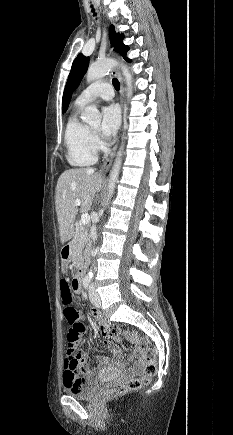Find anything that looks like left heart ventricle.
<instances>
[{
  "mask_svg": "<svg viewBox=\"0 0 233 435\" xmlns=\"http://www.w3.org/2000/svg\"><path fill=\"white\" fill-rule=\"evenodd\" d=\"M92 128H93L94 130H96V129L98 128V126H93Z\"/></svg>",
  "mask_w": 233,
  "mask_h": 435,
  "instance_id": "obj_1",
  "label": "left heart ventricle"
}]
</instances>
